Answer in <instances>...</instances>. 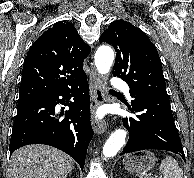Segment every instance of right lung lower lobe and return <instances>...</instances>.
<instances>
[{"label": "right lung lower lobe", "mask_w": 194, "mask_h": 178, "mask_svg": "<svg viewBox=\"0 0 194 178\" xmlns=\"http://www.w3.org/2000/svg\"><path fill=\"white\" fill-rule=\"evenodd\" d=\"M70 98H73V102L69 101ZM59 103L69 106L63 120L55 116V106ZM89 106L87 80L72 88L19 100L10 154L25 145L46 144L69 154L83 169L87 148L93 137Z\"/></svg>", "instance_id": "98d812e1"}]
</instances>
